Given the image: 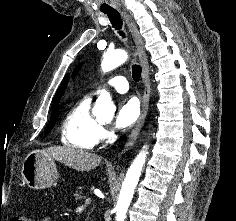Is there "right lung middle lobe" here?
Returning a JSON list of instances; mask_svg holds the SVG:
<instances>
[{
	"mask_svg": "<svg viewBox=\"0 0 236 221\" xmlns=\"http://www.w3.org/2000/svg\"><path fill=\"white\" fill-rule=\"evenodd\" d=\"M58 112H59L58 106L57 105L53 106L52 119H51V122L48 124V126L45 129V135H47L51 131V129L54 127V125L57 121Z\"/></svg>",
	"mask_w": 236,
	"mask_h": 221,
	"instance_id": "1",
	"label": "right lung middle lobe"
}]
</instances>
